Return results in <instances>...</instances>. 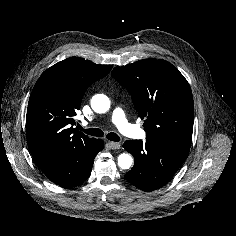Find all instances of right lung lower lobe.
<instances>
[{"instance_id": "1", "label": "right lung lower lobe", "mask_w": 236, "mask_h": 236, "mask_svg": "<svg viewBox=\"0 0 236 236\" xmlns=\"http://www.w3.org/2000/svg\"><path fill=\"white\" fill-rule=\"evenodd\" d=\"M103 148L104 142L96 139L91 146L74 149L38 166L52 182L63 188H72L89 177L94 158Z\"/></svg>"}]
</instances>
